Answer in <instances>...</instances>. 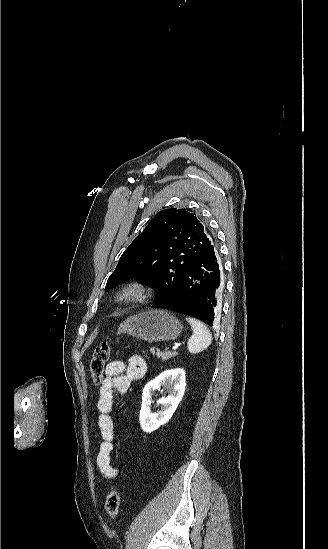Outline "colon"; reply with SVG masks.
<instances>
[{
    "label": "colon",
    "instance_id": "colon-1",
    "mask_svg": "<svg viewBox=\"0 0 328 549\" xmlns=\"http://www.w3.org/2000/svg\"><path fill=\"white\" fill-rule=\"evenodd\" d=\"M113 344V341H104L94 349L90 362V372L93 381L97 384L103 379L105 365L110 358ZM104 508L109 518L115 519L117 517L120 509V494L117 489L109 491Z\"/></svg>",
    "mask_w": 328,
    "mask_h": 549
}]
</instances>
